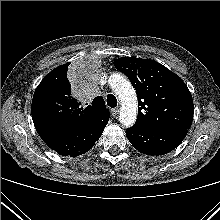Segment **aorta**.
<instances>
[{
    "label": "aorta",
    "mask_w": 220,
    "mask_h": 220,
    "mask_svg": "<svg viewBox=\"0 0 220 220\" xmlns=\"http://www.w3.org/2000/svg\"><path fill=\"white\" fill-rule=\"evenodd\" d=\"M108 82L121 102L119 121L125 127L134 125L137 119V95L131 83L121 74H112Z\"/></svg>",
    "instance_id": "762f6f07"
}]
</instances>
